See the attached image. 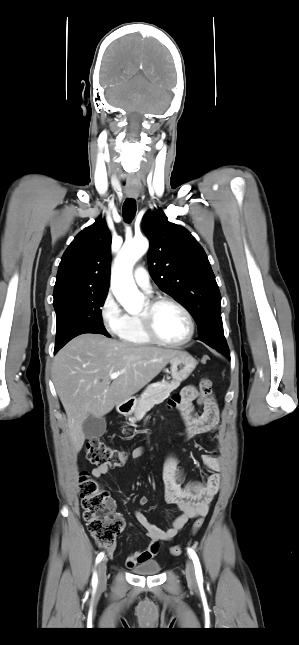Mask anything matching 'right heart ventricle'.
<instances>
[{"mask_svg": "<svg viewBox=\"0 0 299 645\" xmlns=\"http://www.w3.org/2000/svg\"><path fill=\"white\" fill-rule=\"evenodd\" d=\"M122 341L133 345H150L153 341L143 330L137 314H128L126 325L120 335Z\"/></svg>", "mask_w": 299, "mask_h": 645, "instance_id": "right-heart-ventricle-1", "label": "right heart ventricle"}]
</instances>
